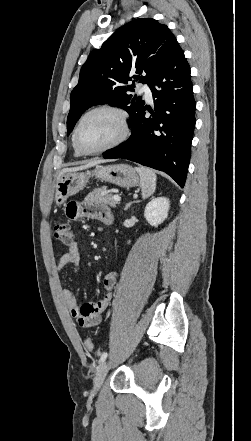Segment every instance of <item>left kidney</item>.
Returning a JSON list of instances; mask_svg holds the SVG:
<instances>
[{"instance_id": "5707ae66", "label": "left kidney", "mask_w": 251, "mask_h": 441, "mask_svg": "<svg viewBox=\"0 0 251 441\" xmlns=\"http://www.w3.org/2000/svg\"><path fill=\"white\" fill-rule=\"evenodd\" d=\"M169 207L170 202L168 198H155L145 207L144 217L150 225L157 227L167 218Z\"/></svg>"}]
</instances>
